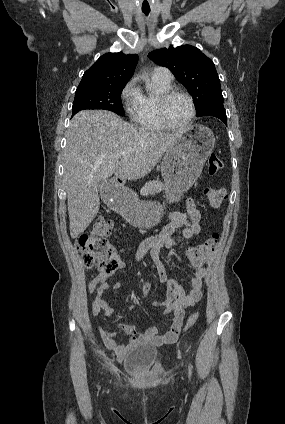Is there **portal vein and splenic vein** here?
Instances as JSON below:
<instances>
[{"instance_id":"1","label":"portal vein and splenic vein","mask_w":285,"mask_h":424,"mask_svg":"<svg viewBox=\"0 0 285 424\" xmlns=\"http://www.w3.org/2000/svg\"><path fill=\"white\" fill-rule=\"evenodd\" d=\"M128 154V152L124 151L121 153L122 156H126Z\"/></svg>"}]
</instances>
